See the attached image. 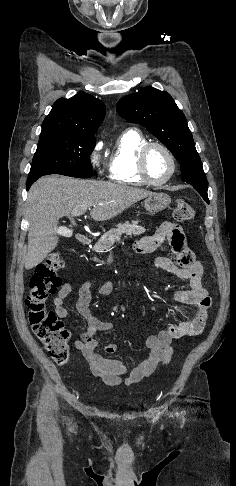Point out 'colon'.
<instances>
[{
	"mask_svg": "<svg viewBox=\"0 0 236 486\" xmlns=\"http://www.w3.org/2000/svg\"><path fill=\"white\" fill-rule=\"evenodd\" d=\"M173 215L176 221L185 223L194 220L195 211L186 199H179ZM62 267L63 261L60 255L51 253L44 262L37 266L31 277L29 292L25 300L29 323L34 334L59 365L67 364L70 358L69 332L54 311L46 310L45 303L61 285L59 271Z\"/></svg>",
	"mask_w": 236,
	"mask_h": 486,
	"instance_id": "colon-1",
	"label": "colon"
}]
</instances>
